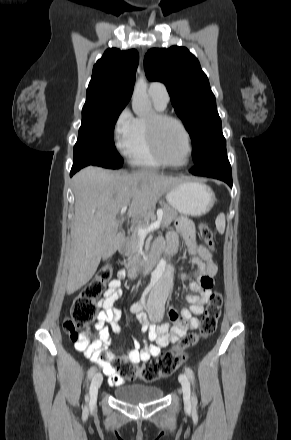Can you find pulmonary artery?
<instances>
[{"label":"pulmonary artery","instance_id":"obj_1","mask_svg":"<svg viewBox=\"0 0 291 440\" xmlns=\"http://www.w3.org/2000/svg\"><path fill=\"white\" fill-rule=\"evenodd\" d=\"M148 93L161 106L166 107L169 102V93L162 82H151Z\"/></svg>","mask_w":291,"mask_h":440}]
</instances>
